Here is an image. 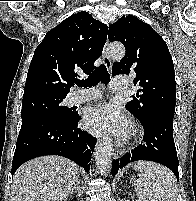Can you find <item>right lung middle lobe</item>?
<instances>
[{
    "label": "right lung middle lobe",
    "mask_w": 196,
    "mask_h": 201,
    "mask_svg": "<svg viewBox=\"0 0 196 201\" xmlns=\"http://www.w3.org/2000/svg\"><path fill=\"white\" fill-rule=\"evenodd\" d=\"M66 96L39 94L23 98L22 119L32 116H47L61 121L71 120L75 113L62 105Z\"/></svg>",
    "instance_id": "right-lung-middle-lobe-1"
}]
</instances>
